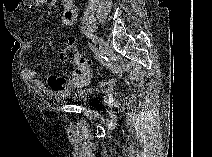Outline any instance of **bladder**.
<instances>
[{"label":"bladder","mask_w":212,"mask_h":157,"mask_svg":"<svg viewBox=\"0 0 212 157\" xmlns=\"http://www.w3.org/2000/svg\"><path fill=\"white\" fill-rule=\"evenodd\" d=\"M102 96L101 90L97 88H87L72 96V99L78 103L90 104Z\"/></svg>","instance_id":"obj_1"}]
</instances>
